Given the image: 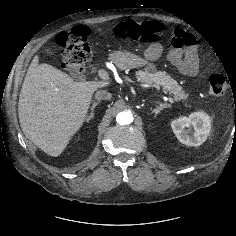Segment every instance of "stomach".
I'll return each mask as SVG.
<instances>
[{
    "label": "stomach",
    "instance_id": "obj_1",
    "mask_svg": "<svg viewBox=\"0 0 236 236\" xmlns=\"http://www.w3.org/2000/svg\"><path fill=\"white\" fill-rule=\"evenodd\" d=\"M110 59L119 69L140 68L148 63L145 58L126 51H114Z\"/></svg>",
    "mask_w": 236,
    "mask_h": 236
}]
</instances>
